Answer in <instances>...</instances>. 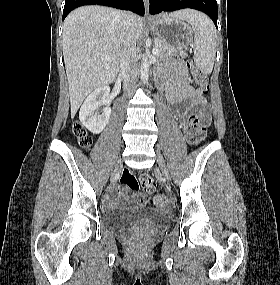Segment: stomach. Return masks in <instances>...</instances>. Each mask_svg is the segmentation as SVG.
Listing matches in <instances>:
<instances>
[{
  "instance_id": "0dacf381",
  "label": "stomach",
  "mask_w": 280,
  "mask_h": 285,
  "mask_svg": "<svg viewBox=\"0 0 280 285\" xmlns=\"http://www.w3.org/2000/svg\"><path fill=\"white\" fill-rule=\"evenodd\" d=\"M148 26L158 38L177 49L186 47L193 39L190 26L184 20L171 15L156 17Z\"/></svg>"
}]
</instances>
